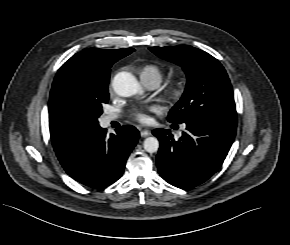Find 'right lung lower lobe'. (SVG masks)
I'll return each instance as SVG.
<instances>
[{
  "label": "right lung lower lobe",
  "mask_w": 290,
  "mask_h": 245,
  "mask_svg": "<svg viewBox=\"0 0 290 245\" xmlns=\"http://www.w3.org/2000/svg\"><path fill=\"white\" fill-rule=\"evenodd\" d=\"M138 138V130L131 125L118 128L116 134L110 136L106 135L105 128L97 126L55 152L73 179L92 188H101L121 177Z\"/></svg>",
  "instance_id": "right-lung-lower-lobe-1"
}]
</instances>
